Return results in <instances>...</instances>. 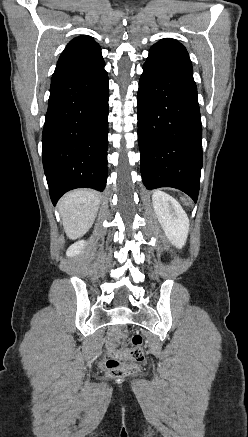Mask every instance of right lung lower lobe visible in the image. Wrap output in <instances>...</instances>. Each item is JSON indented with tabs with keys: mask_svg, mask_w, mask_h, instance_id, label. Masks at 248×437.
Segmentation results:
<instances>
[{
	"mask_svg": "<svg viewBox=\"0 0 248 437\" xmlns=\"http://www.w3.org/2000/svg\"><path fill=\"white\" fill-rule=\"evenodd\" d=\"M103 58L58 64L43 128V166L52 203L67 191H103L107 181L108 75Z\"/></svg>",
	"mask_w": 248,
	"mask_h": 437,
	"instance_id": "obj_1",
	"label": "right lung lower lobe"
}]
</instances>
